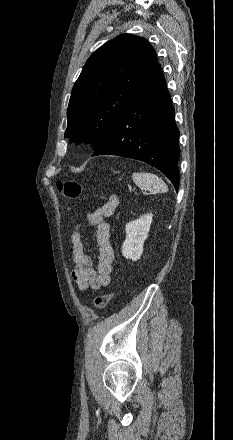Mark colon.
Listing matches in <instances>:
<instances>
[{"instance_id": "obj_1", "label": "colon", "mask_w": 233, "mask_h": 440, "mask_svg": "<svg viewBox=\"0 0 233 440\" xmlns=\"http://www.w3.org/2000/svg\"><path fill=\"white\" fill-rule=\"evenodd\" d=\"M56 187L62 195L70 199L78 198L83 192L82 185L75 180H58ZM113 296V292L98 295L94 301L95 308L97 310H103Z\"/></svg>"}]
</instances>
